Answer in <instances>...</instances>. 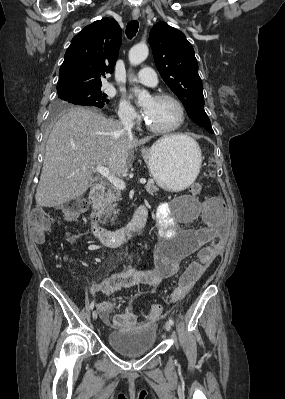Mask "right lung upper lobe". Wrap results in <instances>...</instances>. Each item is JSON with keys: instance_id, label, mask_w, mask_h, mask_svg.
<instances>
[{"instance_id": "obj_1", "label": "right lung upper lobe", "mask_w": 285, "mask_h": 399, "mask_svg": "<svg viewBox=\"0 0 285 399\" xmlns=\"http://www.w3.org/2000/svg\"><path fill=\"white\" fill-rule=\"evenodd\" d=\"M121 33L114 19L103 18L74 36L59 70L57 92L101 87L100 77L114 71Z\"/></svg>"}]
</instances>
